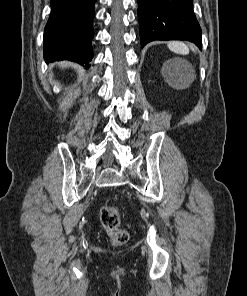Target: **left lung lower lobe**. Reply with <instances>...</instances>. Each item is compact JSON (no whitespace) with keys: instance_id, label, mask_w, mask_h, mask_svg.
<instances>
[{"instance_id":"obj_1","label":"left lung lower lobe","mask_w":247,"mask_h":296,"mask_svg":"<svg viewBox=\"0 0 247 296\" xmlns=\"http://www.w3.org/2000/svg\"><path fill=\"white\" fill-rule=\"evenodd\" d=\"M193 0H138L141 46L153 40H188L202 49Z\"/></svg>"}]
</instances>
